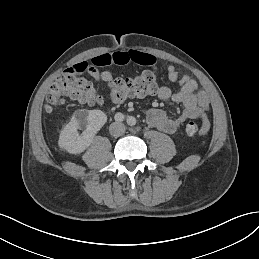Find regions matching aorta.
<instances>
[{"mask_svg":"<svg viewBox=\"0 0 259 259\" xmlns=\"http://www.w3.org/2000/svg\"><path fill=\"white\" fill-rule=\"evenodd\" d=\"M127 122H128V124H134L135 123V118L131 116V117H129L127 119Z\"/></svg>","mask_w":259,"mask_h":259,"instance_id":"obj_1","label":"aorta"}]
</instances>
